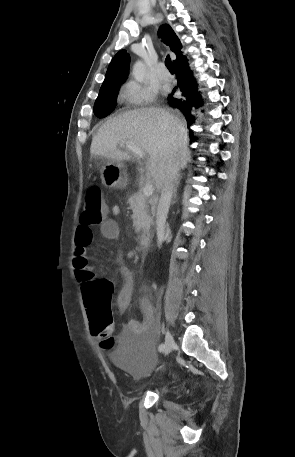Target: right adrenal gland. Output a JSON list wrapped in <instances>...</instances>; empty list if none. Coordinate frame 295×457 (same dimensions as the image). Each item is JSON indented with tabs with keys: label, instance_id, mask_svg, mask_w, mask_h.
Here are the masks:
<instances>
[{
	"label": "right adrenal gland",
	"instance_id": "obj_1",
	"mask_svg": "<svg viewBox=\"0 0 295 457\" xmlns=\"http://www.w3.org/2000/svg\"><path fill=\"white\" fill-rule=\"evenodd\" d=\"M180 179H181V176H179V178L176 181V185H175V188H174V199H176V193H177V188H178ZM172 204H175V200L172 201Z\"/></svg>",
	"mask_w": 295,
	"mask_h": 457
}]
</instances>
